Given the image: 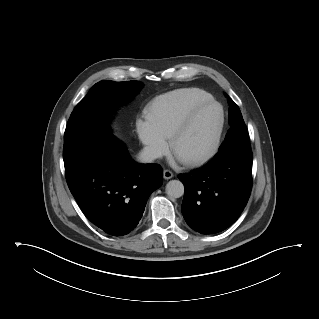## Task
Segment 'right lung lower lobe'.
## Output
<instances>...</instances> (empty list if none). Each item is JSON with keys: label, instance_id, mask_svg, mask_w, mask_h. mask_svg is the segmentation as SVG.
Here are the masks:
<instances>
[{"label": "right lung lower lobe", "instance_id": "obj_1", "mask_svg": "<svg viewBox=\"0 0 319 319\" xmlns=\"http://www.w3.org/2000/svg\"><path fill=\"white\" fill-rule=\"evenodd\" d=\"M65 172L84 215L112 236L137 226L147 198L163 182L160 165L134 162L113 135L92 140Z\"/></svg>", "mask_w": 319, "mask_h": 319}]
</instances>
